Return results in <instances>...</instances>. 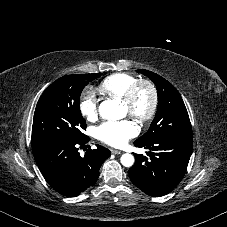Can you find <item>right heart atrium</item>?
Masks as SVG:
<instances>
[{
	"instance_id": "right-heart-atrium-1",
	"label": "right heart atrium",
	"mask_w": 227,
	"mask_h": 227,
	"mask_svg": "<svg viewBox=\"0 0 227 227\" xmlns=\"http://www.w3.org/2000/svg\"><path fill=\"white\" fill-rule=\"evenodd\" d=\"M79 109L82 116L88 121L96 120L99 115V103L93 91H85L79 102Z\"/></svg>"
}]
</instances>
